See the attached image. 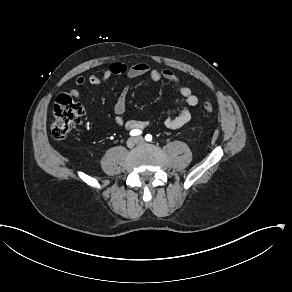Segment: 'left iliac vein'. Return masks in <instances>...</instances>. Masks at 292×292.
<instances>
[{"label":"left iliac vein","instance_id":"1","mask_svg":"<svg viewBox=\"0 0 292 292\" xmlns=\"http://www.w3.org/2000/svg\"><path fill=\"white\" fill-rule=\"evenodd\" d=\"M138 141H139V143H142L143 139L142 138H138Z\"/></svg>","mask_w":292,"mask_h":292}]
</instances>
